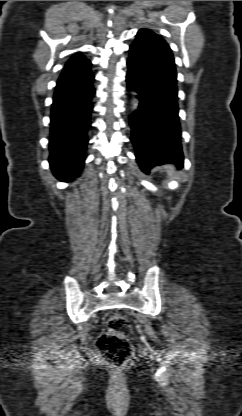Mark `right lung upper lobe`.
Returning a JSON list of instances; mask_svg holds the SVG:
<instances>
[{
    "mask_svg": "<svg viewBox=\"0 0 242 416\" xmlns=\"http://www.w3.org/2000/svg\"><path fill=\"white\" fill-rule=\"evenodd\" d=\"M90 61L82 54L73 55L66 63L63 72L72 73L73 76H79L90 69Z\"/></svg>",
    "mask_w": 242,
    "mask_h": 416,
    "instance_id": "cb5924a9",
    "label": "right lung upper lobe"
}]
</instances>
